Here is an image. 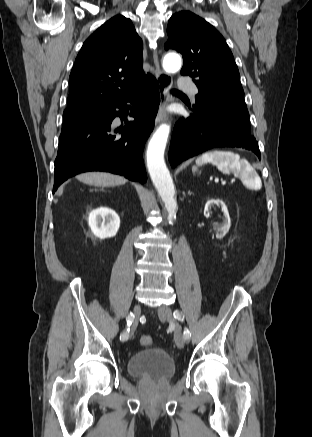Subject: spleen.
I'll list each match as a JSON object with an SVG mask.
<instances>
[{
  "mask_svg": "<svg viewBox=\"0 0 312 437\" xmlns=\"http://www.w3.org/2000/svg\"><path fill=\"white\" fill-rule=\"evenodd\" d=\"M212 163L224 174L233 173L247 181L251 188L260 189L261 180L246 160L231 151H211L197 158L196 164Z\"/></svg>",
  "mask_w": 312,
  "mask_h": 437,
  "instance_id": "spleen-1",
  "label": "spleen"
}]
</instances>
